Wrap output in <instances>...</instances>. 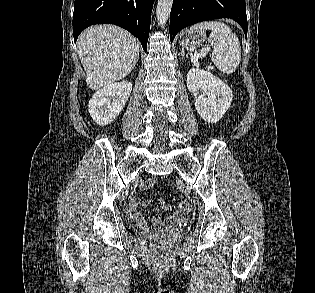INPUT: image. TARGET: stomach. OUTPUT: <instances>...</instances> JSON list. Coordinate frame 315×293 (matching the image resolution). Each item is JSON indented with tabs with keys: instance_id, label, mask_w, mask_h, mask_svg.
I'll return each mask as SVG.
<instances>
[{
	"instance_id": "obj_1",
	"label": "stomach",
	"mask_w": 315,
	"mask_h": 293,
	"mask_svg": "<svg viewBox=\"0 0 315 293\" xmlns=\"http://www.w3.org/2000/svg\"><path fill=\"white\" fill-rule=\"evenodd\" d=\"M206 39V34L191 33L185 30L179 38V43L183 48L194 50Z\"/></svg>"
}]
</instances>
